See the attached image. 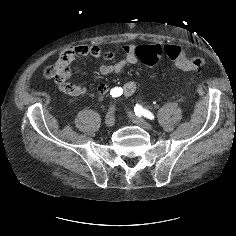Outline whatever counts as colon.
Returning a JSON list of instances; mask_svg holds the SVG:
<instances>
[{
	"mask_svg": "<svg viewBox=\"0 0 236 236\" xmlns=\"http://www.w3.org/2000/svg\"><path fill=\"white\" fill-rule=\"evenodd\" d=\"M162 55L169 58L178 69L183 71L201 70L206 64L203 57H187L184 50L178 45L166 44L161 48L140 45L136 50L138 60L150 67L156 65ZM70 65L69 58L61 53L57 62L47 67L45 75L49 79L61 82L67 78Z\"/></svg>",
	"mask_w": 236,
	"mask_h": 236,
	"instance_id": "5ec220e1",
	"label": "colon"
}]
</instances>
